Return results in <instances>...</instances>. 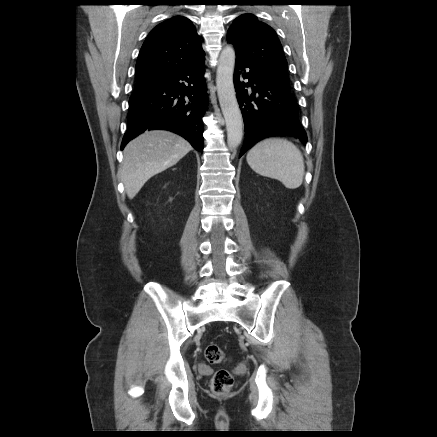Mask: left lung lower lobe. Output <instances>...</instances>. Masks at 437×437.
<instances>
[{
  "label": "left lung lower lobe",
  "instance_id": "left-lung-lower-lobe-1",
  "mask_svg": "<svg viewBox=\"0 0 437 437\" xmlns=\"http://www.w3.org/2000/svg\"><path fill=\"white\" fill-rule=\"evenodd\" d=\"M234 86L245 128L240 157L256 142L275 135H292L306 144L307 135L290 89L270 80L239 57H236Z\"/></svg>",
  "mask_w": 437,
  "mask_h": 437
}]
</instances>
